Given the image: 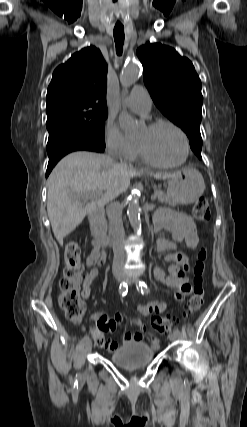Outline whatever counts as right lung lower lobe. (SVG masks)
I'll use <instances>...</instances> for the list:
<instances>
[{
	"label": "right lung lower lobe",
	"mask_w": 247,
	"mask_h": 427,
	"mask_svg": "<svg viewBox=\"0 0 247 427\" xmlns=\"http://www.w3.org/2000/svg\"><path fill=\"white\" fill-rule=\"evenodd\" d=\"M105 147H102L91 140L69 132L54 131L49 133L47 152L49 156L46 177L49 175L56 163L66 154L87 150L94 152H104Z\"/></svg>",
	"instance_id": "obj_1"
}]
</instances>
